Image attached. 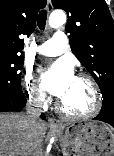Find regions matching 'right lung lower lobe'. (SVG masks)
<instances>
[{"label": "right lung lower lobe", "mask_w": 114, "mask_h": 156, "mask_svg": "<svg viewBox=\"0 0 114 156\" xmlns=\"http://www.w3.org/2000/svg\"><path fill=\"white\" fill-rule=\"evenodd\" d=\"M25 104V96L19 98L0 96V112L21 111L24 108ZM41 118L45 119V115L42 114Z\"/></svg>", "instance_id": "1"}]
</instances>
